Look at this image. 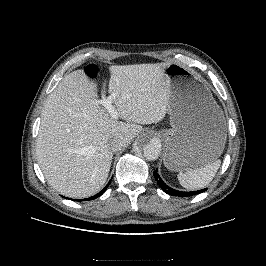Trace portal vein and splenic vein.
I'll use <instances>...</instances> for the list:
<instances>
[{
  "label": "portal vein and splenic vein",
  "mask_w": 266,
  "mask_h": 266,
  "mask_svg": "<svg viewBox=\"0 0 266 266\" xmlns=\"http://www.w3.org/2000/svg\"><path fill=\"white\" fill-rule=\"evenodd\" d=\"M116 94H112L107 98H103L100 100V104H102L106 111L110 114L113 119H118V112L114 105H112V100L115 98Z\"/></svg>",
  "instance_id": "1"
}]
</instances>
